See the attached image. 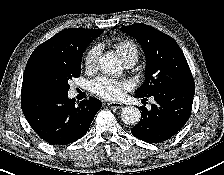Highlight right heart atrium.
I'll return each mask as SVG.
<instances>
[{
	"label": "right heart atrium",
	"instance_id": "d8ad5b80",
	"mask_svg": "<svg viewBox=\"0 0 224 175\" xmlns=\"http://www.w3.org/2000/svg\"><path fill=\"white\" fill-rule=\"evenodd\" d=\"M100 53L101 48L99 46H93L87 51L84 60L87 70H94L96 68Z\"/></svg>",
	"mask_w": 224,
	"mask_h": 175
}]
</instances>
